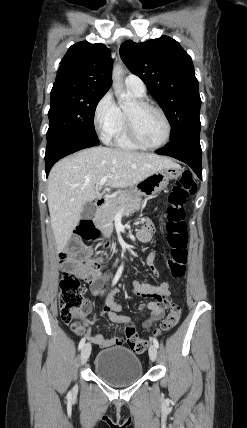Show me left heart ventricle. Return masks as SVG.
<instances>
[{"label":"left heart ventricle","instance_id":"b2bd125f","mask_svg":"<svg viewBox=\"0 0 247 428\" xmlns=\"http://www.w3.org/2000/svg\"><path fill=\"white\" fill-rule=\"evenodd\" d=\"M126 111L132 115L136 132L144 142L158 144L164 139L166 126L158 112L150 108L137 109L134 104Z\"/></svg>","mask_w":247,"mask_h":428}]
</instances>
